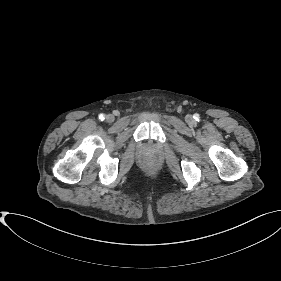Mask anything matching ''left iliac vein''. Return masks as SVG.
Segmentation results:
<instances>
[{"mask_svg": "<svg viewBox=\"0 0 281 281\" xmlns=\"http://www.w3.org/2000/svg\"><path fill=\"white\" fill-rule=\"evenodd\" d=\"M186 121H187L188 123H192V122H193V117H192L191 115H188V116L186 117Z\"/></svg>", "mask_w": 281, "mask_h": 281, "instance_id": "4c4485c4", "label": "left iliac vein"}]
</instances>
